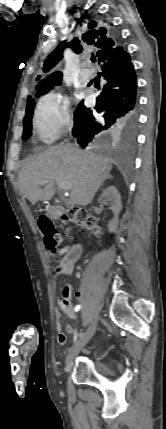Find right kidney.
Masks as SVG:
<instances>
[{
    "label": "right kidney",
    "instance_id": "ca27d5eb",
    "mask_svg": "<svg viewBox=\"0 0 166 429\" xmlns=\"http://www.w3.org/2000/svg\"><path fill=\"white\" fill-rule=\"evenodd\" d=\"M99 203L110 205V209L114 213V218L108 223V231L116 232L119 223V214L122 209L121 196L117 188L113 185L108 186L98 199Z\"/></svg>",
    "mask_w": 166,
    "mask_h": 429
}]
</instances>
